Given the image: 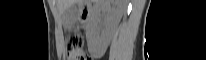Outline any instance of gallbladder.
I'll return each instance as SVG.
<instances>
[{
  "label": "gallbladder",
  "instance_id": "obj_1",
  "mask_svg": "<svg viewBox=\"0 0 206 60\" xmlns=\"http://www.w3.org/2000/svg\"><path fill=\"white\" fill-rule=\"evenodd\" d=\"M79 8L76 3L69 6L62 14V22L66 28L72 27L78 21Z\"/></svg>",
  "mask_w": 206,
  "mask_h": 60
}]
</instances>
